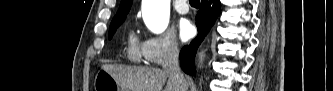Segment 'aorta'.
<instances>
[{
	"instance_id": "aorta-1",
	"label": "aorta",
	"mask_w": 333,
	"mask_h": 91,
	"mask_svg": "<svg viewBox=\"0 0 333 91\" xmlns=\"http://www.w3.org/2000/svg\"><path fill=\"white\" fill-rule=\"evenodd\" d=\"M142 13L148 29L156 34L162 33L169 23L170 0H143Z\"/></svg>"
}]
</instances>
